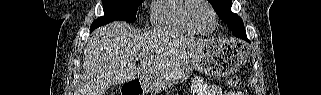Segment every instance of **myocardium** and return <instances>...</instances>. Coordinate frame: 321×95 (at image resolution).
I'll return each instance as SVG.
<instances>
[{
	"label": "myocardium",
	"mask_w": 321,
	"mask_h": 95,
	"mask_svg": "<svg viewBox=\"0 0 321 95\" xmlns=\"http://www.w3.org/2000/svg\"><path fill=\"white\" fill-rule=\"evenodd\" d=\"M191 1H192V5L189 7V10H188V18H189L190 22L192 23V25L194 26V28L196 29V31L200 34H203V35H208V34L213 33L217 27V16H216V12L213 9L210 2L206 1V0H191ZM198 6H205L211 12L212 20H213V27L209 31H205L202 28H200L198 23L195 20L194 12Z\"/></svg>",
	"instance_id": "1"
}]
</instances>
